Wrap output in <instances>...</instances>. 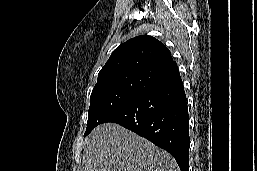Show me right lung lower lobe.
<instances>
[{
	"label": "right lung lower lobe",
	"mask_w": 257,
	"mask_h": 171,
	"mask_svg": "<svg viewBox=\"0 0 257 171\" xmlns=\"http://www.w3.org/2000/svg\"><path fill=\"white\" fill-rule=\"evenodd\" d=\"M106 122L117 123L165 149L181 171H189L188 107L179 72L140 92Z\"/></svg>",
	"instance_id": "right-lung-lower-lobe-1"
}]
</instances>
